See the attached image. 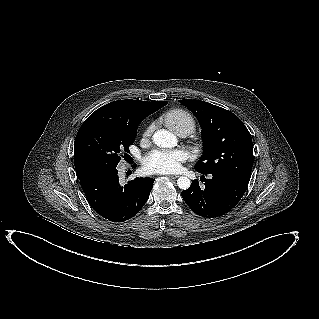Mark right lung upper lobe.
I'll return each instance as SVG.
<instances>
[{"label": "right lung upper lobe", "mask_w": 319, "mask_h": 319, "mask_svg": "<svg viewBox=\"0 0 319 319\" xmlns=\"http://www.w3.org/2000/svg\"><path fill=\"white\" fill-rule=\"evenodd\" d=\"M167 104L166 101H139V100H118L108 103L93 112L85 122L108 121L116 122L137 133L139 123L148 115L159 110ZM91 172H79V179L84 178Z\"/></svg>", "instance_id": "obj_1"}]
</instances>
